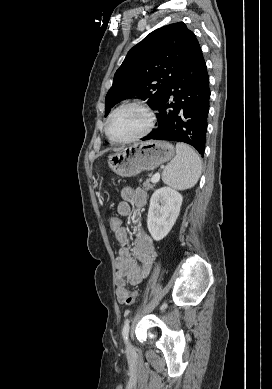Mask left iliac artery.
I'll return each mask as SVG.
<instances>
[{"label":"left iliac artery","instance_id":"1","mask_svg":"<svg viewBox=\"0 0 272 389\" xmlns=\"http://www.w3.org/2000/svg\"><path fill=\"white\" fill-rule=\"evenodd\" d=\"M129 328H130L129 321H127L124 324L123 329H122V336H123L125 341H127V339H128Z\"/></svg>","mask_w":272,"mask_h":389}]
</instances>
